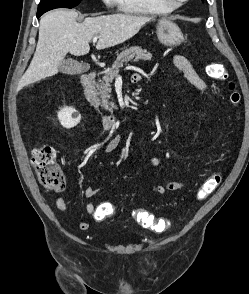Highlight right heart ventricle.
I'll return each instance as SVG.
<instances>
[{
  "label": "right heart ventricle",
  "mask_w": 249,
  "mask_h": 294,
  "mask_svg": "<svg viewBox=\"0 0 249 294\" xmlns=\"http://www.w3.org/2000/svg\"><path fill=\"white\" fill-rule=\"evenodd\" d=\"M115 2L124 12L130 14L163 15L175 9L161 0H115Z\"/></svg>",
  "instance_id": "e07e8e85"
}]
</instances>
